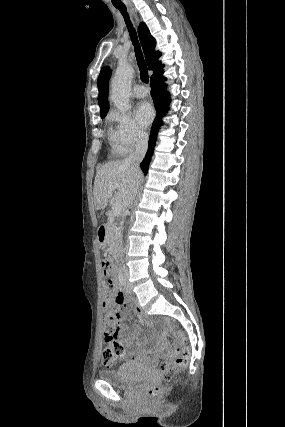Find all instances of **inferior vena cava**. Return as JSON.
<instances>
[{
    "mask_svg": "<svg viewBox=\"0 0 285 427\" xmlns=\"http://www.w3.org/2000/svg\"><path fill=\"white\" fill-rule=\"evenodd\" d=\"M148 148V135L147 134H140L138 137V140L136 142V149L135 152L130 154L126 159L125 162L131 166V169L133 172L137 175H141L140 170V162L143 160L146 151ZM139 186V179L137 180L134 188H133V196L132 199L136 196L137 190ZM124 272H128L127 268L123 266Z\"/></svg>",
    "mask_w": 285,
    "mask_h": 427,
    "instance_id": "602c4592",
    "label": "inferior vena cava"
}]
</instances>
